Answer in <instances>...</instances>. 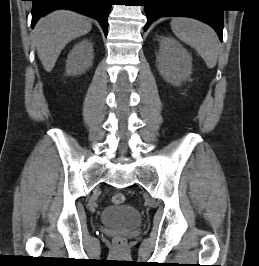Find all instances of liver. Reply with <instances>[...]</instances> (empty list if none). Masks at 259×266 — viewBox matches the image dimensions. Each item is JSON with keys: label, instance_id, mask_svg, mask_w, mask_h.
Here are the masks:
<instances>
[{"label": "liver", "instance_id": "1", "mask_svg": "<svg viewBox=\"0 0 259 266\" xmlns=\"http://www.w3.org/2000/svg\"><path fill=\"white\" fill-rule=\"evenodd\" d=\"M91 28L89 18L72 11L58 10L41 18L34 28L33 40L44 69L50 72L64 47Z\"/></svg>", "mask_w": 259, "mask_h": 266}]
</instances>
